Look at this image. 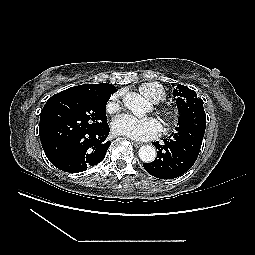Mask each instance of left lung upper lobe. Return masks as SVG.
I'll return each instance as SVG.
<instances>
[{"label":"left lung upper lobe","mask_w":255,"mask_h":255,"mask_svg":"<svg viewBox=\"0 0 255 255\" xmlns=\"http://www.w3.org/2000/svg\"><path fill=\"white\" fill-rule=\"evenodd\" d=\"M173 96L176 99L179 111V127L192 123L196 124L202 117L206 119L203 108L204 102L197 97L195 91L178 84L173 90Z\"/></svg>","instance_id":"5c2ea615"}]
</instances>
